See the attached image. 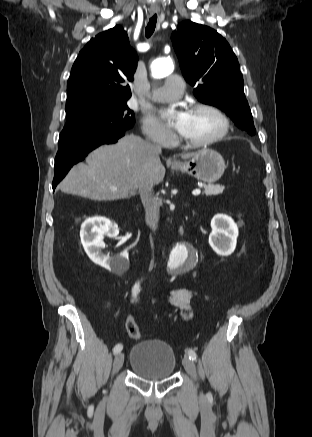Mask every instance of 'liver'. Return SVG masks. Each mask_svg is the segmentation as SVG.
<instances>
[{
  "label": "liver",
  "instance_id": "6515ba94",
  "mask_svg": "<svg viewBox=\"0 0 312 437\" xmlns=\"http://www.w3.org/2000/svg\"><path fill=\"white\" fill-rule=\"evenodd\" d=\"M155 146L135 135H126L116 144L92 151L85 163L75 165L60 183L62 192L96 201H110L147 191L161 183L165 168ZM195 153H183V159Z\"/></svg>",
  "mask_w": 312,
  "mask_h": 437
}]
</instances>
